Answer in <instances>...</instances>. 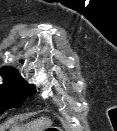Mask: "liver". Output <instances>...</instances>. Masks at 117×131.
Wrapping results in <instances>:
<instances>
[{
    "label": "liver",
    "instance_id": "1",
    "mask_svg": "<svg viewBox=\"0 0 117 131\" xmlns=\"http://www.w3.org/2000/svg\"><path fill=\"white\" fill-rule=\"evenodd\" d=\"M51 124L49 119L42 118L25 126L15 127L12 131H44L51 126Z\"/></svg>",
    "mask_w": 117,
    "mask_h": 131
}]
</instances>
